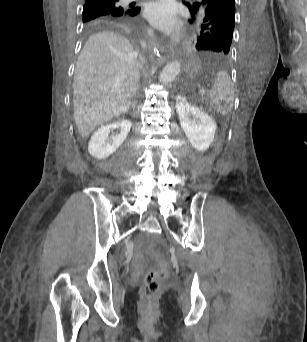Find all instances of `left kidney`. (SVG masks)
Masks as SVG:
<instances>
[{"instance_id": "obj_1", "label": "left kidney", "mask_w": 307, "mask_h": 342, "mask_svg": "<svg viewBox=\"0 0 307 342\" xmlns=\"http://www.w3.org/2000/svg\"><path fill=\"white\" fill-rule=\"evenodd\" d=\"M176 112L180 126L190 144L199 152H206L211 146L217 130L215 120L200 108L189 104L186 98H181V96L177 98Z\"/></svg>"}]
</instances>
